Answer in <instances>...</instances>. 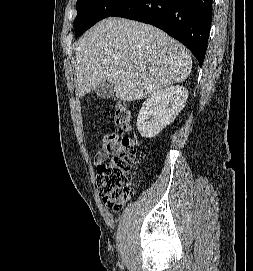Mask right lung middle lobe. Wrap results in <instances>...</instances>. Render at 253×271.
<instances>
[{"instance_id":"dd1d6c3e","label":"right lung middle lobe","mask_w":253,"mask_h":271,"mask_svg":"<svg viewBox=\"0 0 253 271\" xmlns=\"http://www.w3.org/2000/svg\"><path fill=\"white\" fill-rule=\"evenodd\" d=\"M128 1L129 0H77L75 36L79 37L99 20L112 16Z\"/></svg>"}]
</instances>
